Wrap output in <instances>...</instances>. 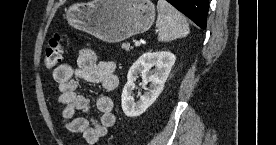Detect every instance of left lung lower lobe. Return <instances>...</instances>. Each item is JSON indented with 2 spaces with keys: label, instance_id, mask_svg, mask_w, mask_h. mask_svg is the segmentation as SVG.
I'll return each mask as SVG.
<instances>
[{
  "label": "left lung lower lobe",
  "instance_id": "0a47b994",
  "mask_svg": "<svg viewBox=\"0 0 276 145\" xmlns=\"http://www.w3.org/2000/svg\"><path fill=\"white\" fill-rule=\"evenodd\" d=\"M175 8L194 21L200 28H206L208 0H167Z\"/></svg>",
  "mask_w": 276,
  "mask_h": 145
}]
</instances>
